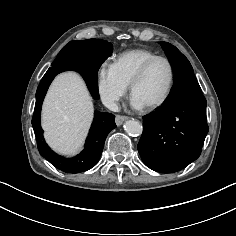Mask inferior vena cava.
Returning <instances> with one entry per match:
<instances>
[{
	"instance_id": "obj_1",
	"label": "inferior vena cava",
	"mask_w": 236,
	"mask_h": 236,
	"mask_svg": "<svg viewBox=\"0 0 236 236\" xmlns=\"http://www.w3.org/2000/svg\"><path fill=\"white\" fill-rule=\"evenodd\" d=\"M103 104L111 111L118 112L120 110L116 103V99L113 97H106L103 99Z\"/></svg>"
}]
</instances>
